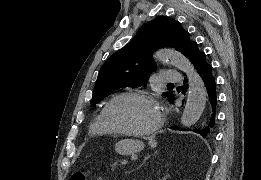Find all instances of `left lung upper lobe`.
Returning <instances> with one entry per match:
<instances>
[{
	"label": "left lung upper lobe",
	"instance_id": "left-lung-upper-lobe-1",
	"mask_svg": "<svg viewBox=\"0 0 261 180\" xmlns=\"http://www.w3.org/2000/svg\"><path fill=\"white\" fill-rule=\"evenodd\" d=\"M196 44L181 24L170 17H157L146 23L127 46L103 64L90 103L97 104L116 89L145 84L156 69L151 54L157 49L170 46L188 58ZM166 96L169 101L173 99L171 91Z\"/></svg>",
	"mask_w": 261,
	"mask_h": 180
}]
</instances>
